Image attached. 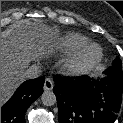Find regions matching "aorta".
Listing matches in <instances>:
<instances>
[{"label": "aorta", "mask_w": 123, "mask_h": 123, "mask_svg": "<svg viewBox=\"0 0 123 123\" xmlns=\"http://www.w3.org/2000/svg\"><path fill=\"white\" fill-rule=\"evenodd\" d=\"M41 101L45 106H52L57 102V99L52 91H44L41 95Z\"/></svg>", "instance_id": "1"}]
</instances>
